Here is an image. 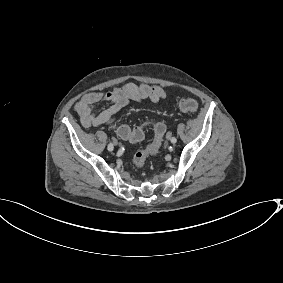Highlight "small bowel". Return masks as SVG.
<instances>
[{
    "instance_id": "c3829d8e",
    "label": "small bowel",
    "mask_w": 283,
    "mask_h": 283,
    "mask_svg": "<svg viewBox=\"0 0 283 283\" xmlns=\"http://www.w3.org/2000/svg\"><path fill=\"white\" fill-rule=\"evenodd\" d=\"M166 98L165 90L158 85L147 83H126L114 87L111 91H95L85 94L75 105L85 129L101 125H111L115 122L118 113L131 101L144 102L150 100L159 103ZM103 102L110 103L109 107L94 113L93 108Z\"/></svg>"
}]
</instances>
